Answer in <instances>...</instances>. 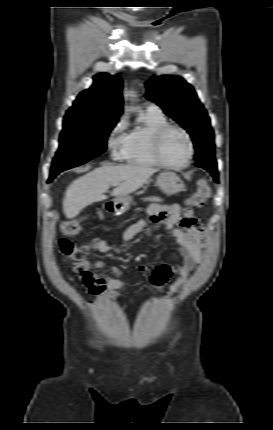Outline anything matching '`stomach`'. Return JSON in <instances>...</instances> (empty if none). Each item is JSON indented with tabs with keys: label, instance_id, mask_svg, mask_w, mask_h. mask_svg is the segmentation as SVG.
I'll use <instances>...</instances> for the list:
<instances>
[{
	"label": "stomach",
	"instance_id": "1",
	"mask_svg": "<svg viewBox=\"0 0 273 430\" xmlns=\"http://www.w3.org/2000/svg\"><path fill=\"white\" fill-rule=\"evenodd\" d=\"M158 187L167 195H173L184 189L183 181L179 176L171 171H165L157 177ZM131 198L129 196H119L114 200V210L123 212L130 207Z\"/></svg>",
	"mask_w": 273,
	"mask_h": 430
}]
</instances>
